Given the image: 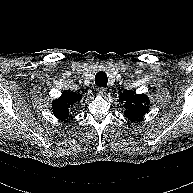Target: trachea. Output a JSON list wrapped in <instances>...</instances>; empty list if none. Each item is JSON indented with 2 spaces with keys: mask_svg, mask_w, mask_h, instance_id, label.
<instances>
[{
  "mask_svg": "<svg viewBox=\"0 0 193 193\" xmlns=\"http://www.w3.org/2000/svg\"><path fill=\"white\" fill-rule=\"evenodd\" d=\"M107 82H108V77L105 72H98L95 75V84L96 85L106 87Z\"/></svg>",
  "mask_w": 193,
  "mask_h": 193,
  "instance_id": "obj_1",
  "label": "trachea"
}]
</instances>
